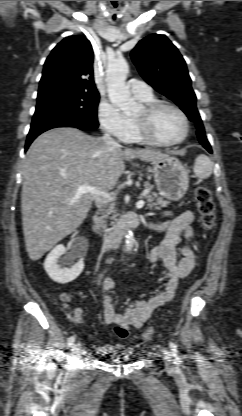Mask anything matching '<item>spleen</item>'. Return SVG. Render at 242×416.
I'll use <instances>...</instances> for the list:
<instances>
[{
	"label": "spleen",
	"mask_w": 242,
	"mask_h": 416,
	"mask_svg": "<svg viewBox=\"0 0 242 416\" xmlns=\"http://www.w3.org/2000/svg\"><path fill=\"white\" fill-rule=\"evenodd\" d=\"M194 174L199 179L209 177L213 171V162L204 154L199 155L193 167Z\"/></svg>",
	"instance_id": "3e777b00"
}]
</instances>
